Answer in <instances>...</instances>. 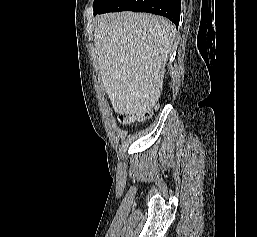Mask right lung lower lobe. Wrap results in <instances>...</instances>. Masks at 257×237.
I'll return each mask as SVG.
<instances>
[{"mask_svg":"<svg viewBox=\"0 0 257 237\" xmlns=\"http://www.w3.org/2000/svg\"><path fill=\"white\" fill-rule=\"evenodd\" d=\"M181 0H111L102 8L94 9V14L107 12L134 11L149 12L170 19L176 26L180 20Z\"/></svg>","mask_w":257,"mask_h":237,"instance_id":"98d812e1","label":"right lung lower lobe"}]
</instances>
